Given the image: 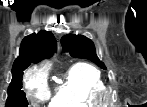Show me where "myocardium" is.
<instances>
[{
  "label": "myocardium",
  "mask_w": 147,
  "mask_h": 107,
  "mask_svg": "<svg viewBox=\"0 0 147 107\" xmlns=\"http://www.w3.org/2000/svg\"><path fill=\"white\" fill-rule=\"evenodd\" d=\"M95 100L98 104L105 105L110 102V95L108 91L104 89L95 96Z\"/></svg>",
  "instance_id": "myocardium-1"
}]
</instances>
